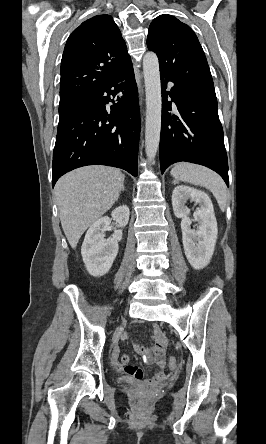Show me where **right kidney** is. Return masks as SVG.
Here are the masks:
<instances>
[{
  "instance_id": "obj_1",
  "label": "right kidney",
  "mask_w": 266,
  "mask_h": 444,
  "mask_svg": "<svg viewBox=\"0 0 266 444\" xmlns=\"http://www.w3.org/2000/svg\"><path fill=\"white\" fill-rule=\"evenodd\" d=\"M112 217L123 228L129 221V208L126 205L112 211ZM111 219L107 216L99 218L88 229L81 248L83 262L92 276H103L110 268L118 254L119 241L122 239V230L114 231L111 238L105 239L104 232L108 230Z\"/></svg>"
}]
</instances>
